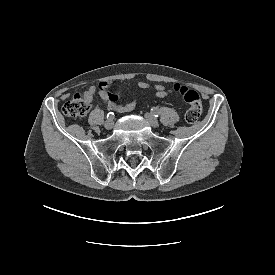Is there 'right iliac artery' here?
Returning a JSON list of instances; mask_svg holds the SVG:
<instances>
[{"instance_id": "1", "label": "right iliac artery", "mask_w": 275, "mask_h": 275, "mask_svg": "<svg viewBox=\"0 0 275 275\" xmlns=\"http://www.w3.org/2000/svg\"><path fill=\"white\" fill-rule=\"evenodd\" d=\"M113 115H114L113 112H109V113L107 114V118H113Z\"/></svg>"}]
</instances>
